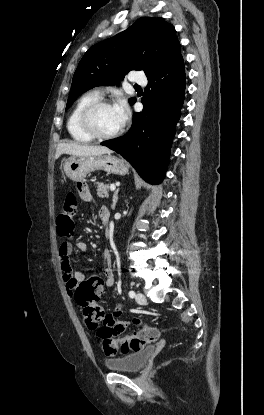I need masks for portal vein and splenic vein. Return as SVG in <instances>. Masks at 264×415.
I'll return each mask as SVG.
<instances>
[{
  "label": "portal vein and splenic vein",
  "instance_id": "portal-vein-and-splenic-vein-1",
  "mask_svg": "<svg viewBox=\"0 0 264 415\" xmlns=\"http://www.w3.org/2000/svg\"><path fill=\"white\" fill-rule=\"evenodd\" d=\"M115 188H116V186H115L114 184H112V185L110 186V190H111V191H114V190H115Z\"/></svg>",
  "mask_w": 264,
  "mask_h": 415
}]
</instances>
